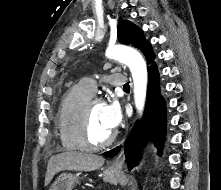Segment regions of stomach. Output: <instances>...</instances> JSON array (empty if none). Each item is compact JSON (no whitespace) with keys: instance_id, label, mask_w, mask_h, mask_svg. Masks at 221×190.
<instances>
[{"instance_id":"0dacf381","label":"stomach","mask_w":221,"mask_h":190,"mask_svg":"<svg viewBox=\"0 0 221 190\" xmlns=\"http://www.w3.org/2000/svg\"><path fill=\"white\" fill-rule=\"evenodd\" d=\"M80 173L61 174L51 185L49 190H72L75 184L79 183ZM121 176L115 170L108 168L103 172V179L111 184H117Z\"/></svg>"}]
</instances>
